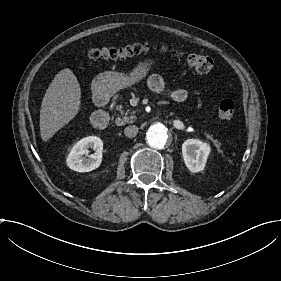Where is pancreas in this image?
Segmentation results:
<instances>
[{
  "label": "pancreas",
  "mask_w": 281,
  "mask_h": 281,
  "mask_svg": "<svg viewBox=\"0 0 281 281\" xmlns=\"http://www.w3.org/2000/svg\"><path fill=\"white\" fill-rule=\"evenodd\" d=\"M116 110H118L120 112V114L122 115V118H117L115 121L117 126H123L127 123H133L137 119V117L134 115L136 113V111H131L130 116H129L130 110H127L126 112L123 111L122 105L116 106Z\"/></svg>",
  "instance_id": "1"
}]
</instances>
